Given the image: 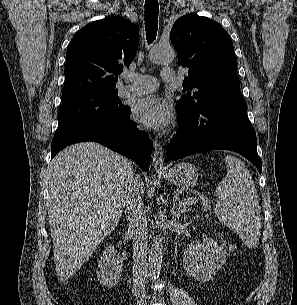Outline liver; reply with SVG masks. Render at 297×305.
Instances as JSON below:
<instances>
[{"label":"liver","mask_w":297,"mask_h":305,"mask_svg":"<svg viewBox=\"0 0 297 305\" xmlns=\"http://www.w3.org/2000/svg\"><path fill=\"white\" fill-rule=\"evenodd\" d=\"M131 162L95 142L59 152L49 164L48 217L56 273L72 277L118 225ZM140 193L144 185L139 177Z\"/></svg>","instance_id":"liver-1"}]
</instances>
